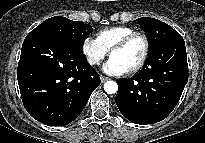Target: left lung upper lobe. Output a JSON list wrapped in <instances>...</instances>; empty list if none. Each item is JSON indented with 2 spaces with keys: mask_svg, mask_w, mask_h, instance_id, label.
Wrapping results in <instances>:
<instances>
[{
  "mask_svg": "<svg viewBox=\"0 0 205 143\" xmlns=\"http://www.w3.org/2000/svg\"><path fill=\"white\" fill-rule=\"evenodd\" d=\"M138 22L141 25L142 29L145 31L146 36L149 40V55L143 68L148 69L153 67V62L160 58V56L157 57L153 54L155 49L165 40L170 37L179 35V33L168 24L154 18L142 17L138 19Z\"/></svg>",
  "mask_w": 205,
  "mask_h": 143,
  "instance_id": "left-lung-upper-lobe-1",
  "label": "left lung upper lobe"
}]
</instances>
